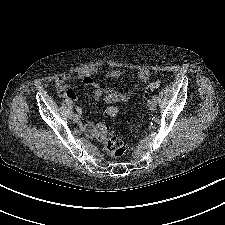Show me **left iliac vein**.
<instances>
[{
	"label": "left iliac vein",
	"instance_id": "left-iliac-vein-1",
	"mask_svg": "<svg viewBox=\"0 0 225 225\" xmlns=\"http://www.w3.org/2000/svg\"><path fill=\"white\" fill-rule=\"evenodd\" d=\"M157 108V103L155 101H151L150 104H149V109L151 111H155Z\"/></svg>",
	"mask_w": 225,
	"mask_h": 225
}]
</instances>
